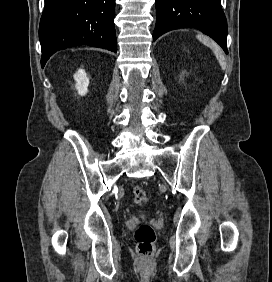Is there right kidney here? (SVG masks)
I'll return each instance as SVG.
<instances>
[{"instance_id": "ca27d5eb", "label": "right kidney", "mask_w": 272, "mask_h": 282, "mask_svg": "<svg viewBox=\"0 0 272 282\" xmlns=\"http://www.w3.org/2000/svg\"><path fill=\"white\" fill-rule=\"evenodd\" d=\"M74 80L76 81L75 87L78 91V94L81 96L86 95L88 92L89 78L87 77L85 70L79 69L74 74Z\"/></svg>"}]
</instances>
